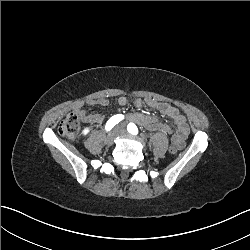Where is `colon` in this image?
<instances>
[{"label":"colon","mask_w":250,"mask_h":250,"mask_svg":"<svg viewBox=\"0 0 250 250\" xmlns=\"http://www.w3.org/2000/svg\"><path fill=\"white\" fill-rule=\"evenodd\" d=\"M80 116L76 112L67 114L58 125L59 134L65 139H75L80 131ZM180 149L176 142H172L169 152L175 154Z\"/></svg>","instance_id":"colon-1"}]
</instances>
